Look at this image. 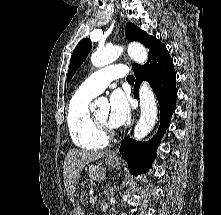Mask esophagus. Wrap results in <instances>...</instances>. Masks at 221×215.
I'll return each mask as SVG.
<instances>
[{
    "label": "esophagus",
    "instance_id": "obj_1",
    "mask_svg": "<svg viewBox=\"0 0 221 215\" xmlns=\"http://www.w3.org/2000/svg\"><path fill=\"white\" fill-rule=\"evenodd\" d=\"M109 156H110V157H115L116 154H115V152H110V153H109Z\"/></svg>",
    "mask_w": 221,
    "mask_h": 215
}]
</instances>
